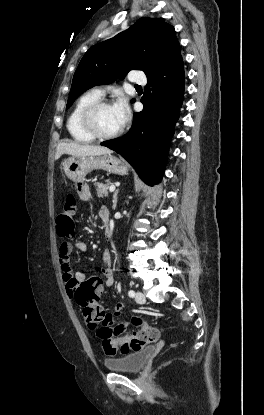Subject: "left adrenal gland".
Returning <instances> with one entry per match:
<instances>
[{
	"mask_svg": "<svg viewBox=\"0 0 264 415\" xmlns=\"http://www.w3.org/2000/svg\"><path fill=\"white\" fill-rule=\"evenodd\" d=\"M118 189L114 192V194H113V206H112V208H113V210H115L116 209V204H117V195H118Z\"/></svg>",
	"mask_w": 264,
	"mask_h": 415,
	"instance_id": "1",
	"label": "left adrenal gland"
}]
</instances>
